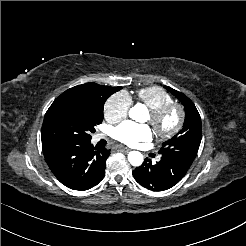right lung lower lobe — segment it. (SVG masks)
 I'll use <instances>...</instances> for the list:
<instances>
[{
	"mask_svg": "<svg viewBox=\"0 0 246 246\" xmlns=\"http://www.w3.org/2000/svg\"><path fill=\"white\" fill-rule=\"evenodd\" d=\"M42 148L53 174L71 189L87 190L104 178L106 148H94L90 141L42 143Z\"/></svg>",
	"mask_w": 246,
	"mask_h": 246,
	"instance_id": "98d812e1",
	"label": "right lung lower lobe"
}]
</instances>
